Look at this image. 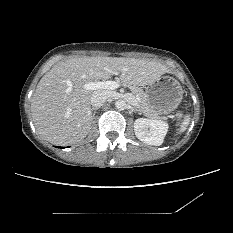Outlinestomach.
I'll use <instances>...</instances> for the list:
<instances>
[{"label":"stomach","instance_id":"obj_1","mask_svg":"<svg viewBox=\"0 0 233 233\" xmlns=\"http://www.w3.org/2000/svg\"><path fill=\"white\" fill-rule=\"evenodd\" d=\"M147 104L158 114L174 111L183 98L180 83L171 76H162L145 88Z\"/></svg>","mask_w":233,"mask_h":233}]
</instances>
